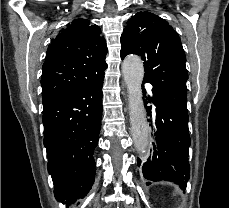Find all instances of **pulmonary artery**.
<instances>
[{
  "label": "pulmonary artery",
  "instance_id": "obj_1",
  "mask_svg": "<svg viewBox=\"0 0 229 208\" xmlns=\"http://www.w3.org/2000/svg\"><path fill=\"white\" fill-rule=\"evenodd\" d=\"M147 87H148V90L151 91L152 89L151 85H148Z\"/></svg>",
  "mask_w": 229,
  "mask_h": 208
}]
</instances>
